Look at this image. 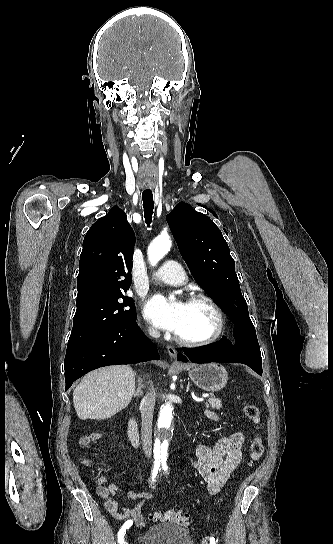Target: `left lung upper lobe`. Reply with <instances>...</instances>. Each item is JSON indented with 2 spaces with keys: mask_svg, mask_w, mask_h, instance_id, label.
I'll list each match as a JSON object with an SVG mask.
<instances>
[{
  "mask_svg": "<svg viewBox=\"0 0 333 544\" xmlns=\"http://www.w3.org/2000/svg\"><path fill=\"white\" fill-rule=\"evenodd\" d=\"M167 220L196 282L222 303L233 322L250 319L235 262L219 228L184 202L175 206Z\"/></svg>",
  "mask_w": 333,
  "mask_h": 544,
  "instance_id": "obj_1",
  "label": "left lung upper lobe"
}]
</instances>
